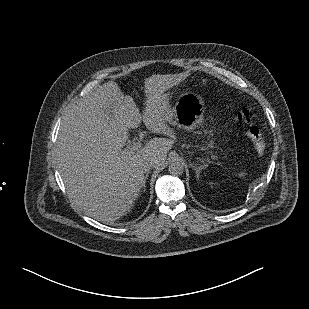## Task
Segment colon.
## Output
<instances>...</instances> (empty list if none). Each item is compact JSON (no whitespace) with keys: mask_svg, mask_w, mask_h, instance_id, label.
I'll use <instances>...</instances> for the list:
<instances>
[{"mask_svg":"<svg viewBox=\"0 0 309 309\" xmlns=\"http://www.w3.org/2000/svg\"><path fill=\"white\" fill-rule=\"evenodd\" d=\"M236 117L245 125V134L252 141L255 149L263 152L266 143L260 129L252 123L250 112L246 108H240L236 112Z\"/></svg>","mask_w":309,"mask_h":309,"instance_id":"1","label":"colon"}]
</instances>
